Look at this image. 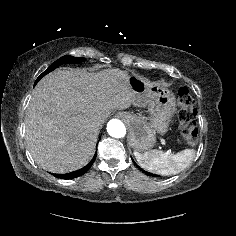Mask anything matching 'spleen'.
<instances>
[{
    "label": "spleen",
    "mask_w": 236,
    "mask_h": 236,
    "mask_svg": "<svg viewBox=\"0 0 236 236\" xmlns=\"http://www.w3.org/2000/svg\"><path fill=\"white\" fill-rule=\"evenodd\" d=\"M139 165L152 173L159 175H173L185 169L194 159V149H184L176 154L151 150L145 153L134 151Z\"/></svg>",
    "instance_id": "3e777b00"
}]
</instances>
